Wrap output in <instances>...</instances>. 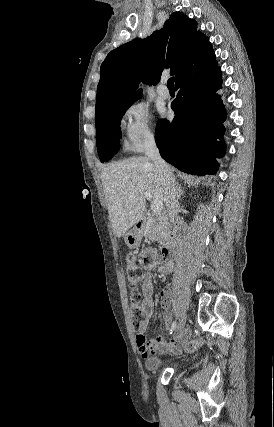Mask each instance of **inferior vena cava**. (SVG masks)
<instances>
[{"label": "inferior vena cava", "mask_w": 274, "mask_h": 427, "mask_svg": "<svg viewBox=\"0 0 274 427\" xmlns=\"http://www.w3.org/2000/svg\"><path fill=\"white\" fill-rule=\"evenodd\" d=\"M145 154L154 162L155 166H157L159 172H169L170 168L167 166L166 162L162 160L158 148L156 146V142L154 138H148L147 140V146L145 148ZM166 206H167V212L170 217V221L173 225L175 223V219L178 214V210L180 208L179 202H178V192L177 190H169L167 196H166Z\"/></svg>", "instance_id": "inferior-vena-cava-1"}]
</instances>
